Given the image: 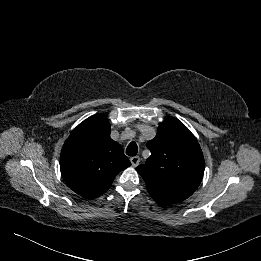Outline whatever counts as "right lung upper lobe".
Here are the masks:
<instances>
[{"instance_id": "1", "label": "right lung upper lobe", "mask_w": 261, "mask_h": 261, "mask_svg": "<svg viewBox=\"0 0 261 261\" xmlns=\"http://www.w3.org/2000/svg\"><path fill=\"white\" fill-rule=\"evenodd\" d=\"M130 165L122 146L110 137L108 119L100 115L80 123L65 141L60 155L64 181L87 199L105 193L116 175Z\"/></svg>"}]
</instances>
